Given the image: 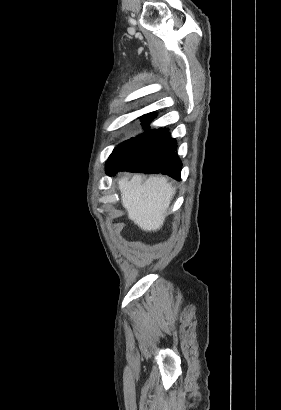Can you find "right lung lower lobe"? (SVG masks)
Listing matches in <instances>:
<instances>
[{
  "instance_id": "98d812e1",
  "label": "right lung lower lobe",
  "mask_w": 281,
  "mask_h": 410,
  "mask_svg": "<svg viewBox=\"0 0 281 410\" xmlns=\"http://www.w3.org/2000/svg\"><path fill=\"white\" fill-rule=\"evenodd\" d=\"M176 148L177 143L167 129H153L107 174L115 175L118 171L162 173L180 180L182 163Z\"/></svg>"
}]
</instances>
